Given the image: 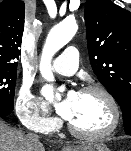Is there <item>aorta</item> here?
<instances>
[{"mask_svg":"<svg viewBox=\"0 0 131 151\" xmlns=\"http://www.w3.org/2000/svg\"><path fill=\"white\" fill-rule=\"evenodd\" d=\"M77 28L75 20L67 19L53 27L48 34L40 63L41 74L46 80L52 81L54 79L53 73L50 70L52 57L72 39Z\"/></svg>","mask_w":131,"mask_h":151,"instance_id":"aorta-1","label":"aorta"}]
</instances>
